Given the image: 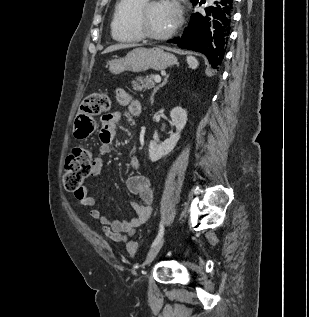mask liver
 <instances>
[{
    "label": "liver",
    "instance_id": "6515ba94",
    "mask_svg": "<svg viewBox=\"0 0 309 317\" xmlns=\"http://www.w3.org/2000/svg\"><path fill=\"white\" fill-rule=\"evenodd\" d=\"M134 46H136V44H115V45L107 47L103 51V54L110 53V52H113V51H117V50H120V49L134 47Z\"/></svg>",
    "mask_w": 309,
    "mask_h": 317
}]
</instances>
